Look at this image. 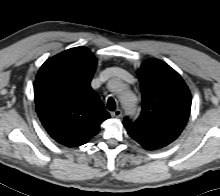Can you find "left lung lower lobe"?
<instances>
[{"label": "left lung lower lobe", "instance_id": "left-lung-lower-lobe-1", "mask_svg": "<svg viewBox=\"0 0 220 196\" xmlns=\"http://www.w3.org/2000/svg\"><path fill=\"white\" fill-rule=\"evenodd\" d=\"M134 140L138 141V138L135 137L133 134H129Z\"/></svg>", "mask_w": 220, "mask_h": 196}]
</instances>
